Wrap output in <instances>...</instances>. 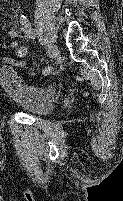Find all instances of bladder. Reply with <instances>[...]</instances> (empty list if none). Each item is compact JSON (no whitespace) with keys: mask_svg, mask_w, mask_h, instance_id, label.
<instances>
[{"mask_svg":"<svg viewBox=\"0 0 123 201\" xmlns=\"http://www.w3.org/2000/svg\"><path fill=\"white\" fill-rule=\"evenodd\" d=\"M0 83L11 104L37 116L49 114L56 106L54 90L23 79L12 67L0 66Z\"/></svg>","mask_w":123,"mask_h":201,"instance_id":"1","label":"bladder"}]
</instances>
